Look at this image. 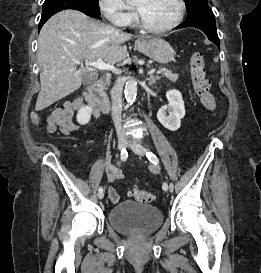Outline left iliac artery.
I'll return each mask as SVG.
<instances>
[{"label": "left iliac artery", "instance_id": "left-iliac-artery-1", "mask_svg": "<svg viewBox=\"0 0 261 273\" xmlns=\"http://www.w3.org/2000/svg\"><path fill=\"white\" fill-rule=\"evenodd\" d=\"M146 157L149 159L150 162H152L155 165H157L159 163V160H158L157 156L155 154H153L152 152H147L146 153ZM162 188H163V190H167L168 189L167 183H164L163 186H162ZM169 189L171 191H173L174 186H173L172 183H170Z\"/></svg>", "mask_w": 261, "mask_h": 273}]
</instances>
